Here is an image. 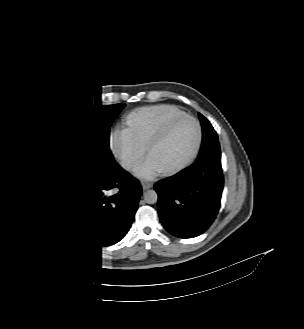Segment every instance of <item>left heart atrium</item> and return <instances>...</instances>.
<instances>
[{"mask_svg":"<svg viewBox=\"0 0 304 329\" xmlns=\"http://www.w3.org/2000/svg\"><path fill=\"white\" fill-rule=\"evenodd\" d=\"M159 173V170L149 161L143 167L142 176L145 179H152Z\"/></svg>","mask_w":304,"mask_h":329,"instance_id":"left-heart-atrium-1","label":"left heart atrium"}]
</instances>
